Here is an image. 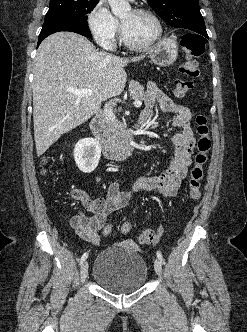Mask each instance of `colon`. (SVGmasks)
Returning a JSON list of instances; mask_svg holds the SVG:
<instances>
[{"mask_svg": "<svg viewBox=\"0 0 247 332\" xmlns=\"http://www.w3.org/2000/svg\"><path fill=\"white\" fill-rule=\"evenodd\" d=\"M182 47L187 54V59L181 64L179 71L189 79H178L174 84V93L177 97H183L193 88L191 78L199 75V65L196 57L200 56L205 50L204 38L196 33L188 32L182 37ZM196 131L198 134L197 152L194 157V164L190 171L188 189L189 196L197 200L201 195L202 180L204 176V167L208 161V155L211 149V140L209 136V126L205 115L198 114L195 119ZM121 234H128L131 231V224L124 222L120 225ZM112 227L106 225L103 228L105 236L110 235ZM158 240V234L153 229H146L139 235V242L142 244L154 243Z\"/></svg>", "mask_w": 247, "mask_h": 332, "instance_id": "obj_1", "label": "colon"}]
</instances>
